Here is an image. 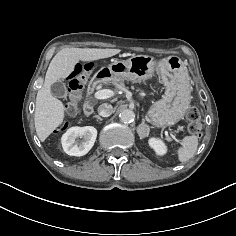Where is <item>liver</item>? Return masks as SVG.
I'll use <instances>...</instances> for the list:
<instances>
[{"instance_id":"liver-1","label":"liver","mask_w":236,"mask_h":236,"mask_svg":"<svg viewBox=\"0 0 236 236\" xmlns=\"http://www.w3.org/2000/svg\"><path fill=\"white\" fill-rule=\"evenodd\" d=\"M120 51V49L108 48H65L54 56L46 72L43 86L36 96L34 123L40 141L44 142L65 118V107L51 94V85L59 79L66 78L79 61H96L112 57Z\"/></svg>"}]
</instances>
